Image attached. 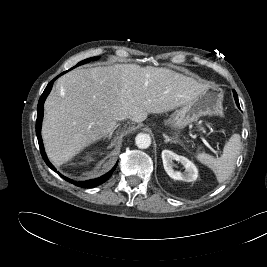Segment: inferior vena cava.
Returning a JSON list of instances; mask_svg holds the SVG:
<instances>
[{"mask_svg": "<svg viewBox=\"0 0 267 267\" xmlns=\"http://www.w3.org/2000/svg\"><path fill=\"white\" fill-rule=\"evenodd\" d=\"M124 119H126V118H124V117H118L117 118V120H124Z\"/></svg>", "mask_w": 267, "mask_h": 267, "instance_id": "obj_1", "label": "inferior vena cava"}]
</instances>
